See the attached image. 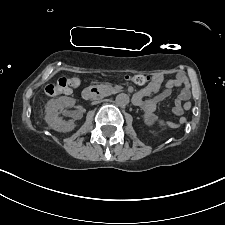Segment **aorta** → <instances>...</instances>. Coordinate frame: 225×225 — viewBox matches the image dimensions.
<instances>
[{"label": "aorta", "mask_w": 225, "mask_h": 225, "mask_svg": "<svg viewBox=\"0 0 225 225\" xmlns=\"http://www.w3.org/2000/svg\"><path fill=\"white\" fill-rule=\"evenodd\" d=\"M129 96L125 93H120L115 98V103L118 106H126L129 103Z\"/></svg>", "instance_id": "obj_1"}]
</instances>
